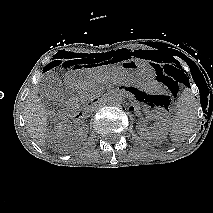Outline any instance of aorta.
<instances>
[{"mask_svg": "<svg viewBox=\"0 0 213 213\" xmlns=\"http://www.w3.org/2000/svg\"><path fill=\"white\" fill-rule=\"evenodd\" d=\"M108 103L111 106L120 107L121 104L123 103V98H122L121 94L113 93L108 98Z\"/></svg>", "mask_w": 213, "mask_h": 213, "instance_id": "762f6f07", "label": "aorta"}]
</instances>
